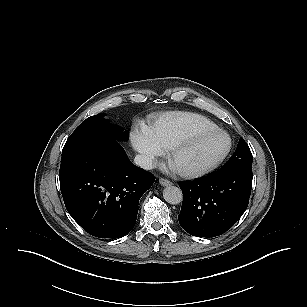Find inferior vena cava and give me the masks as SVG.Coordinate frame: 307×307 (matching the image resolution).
Instances as JSON below:
<instances>
[{
	"mask_svg": "<svg viewBox=\"0 0 307 307\" xmlns=\"http://www.w3.org/2000/svg\"><path fill=\"white\" fill-rule=\"evenodd\" d=\"M134 162L137 166L145 170H151L154 168L153 160L146 155H141V154L136 155L134 158Z\"/></svg>",
	"mask_w": 307,
	"mask_h": 307,
	"instance_id": "602c4592",
	"label": "inferior vena cava"
}]
</instances>
